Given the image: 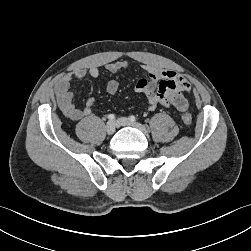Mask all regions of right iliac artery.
<instances>
[{
    "mask_svg": "<svg viewBox=\"0 0 251 251\" xmlns=\"http://www.w3.org/2000/svg\"><path fill=\"white\" fill-rule=\"evenodd\" d=\"M108 119H109L110 121L115 120V115H114V114H109V115H108Z\"/></svg>",
    "mask_w": 251,
    "mask_h": 251,
    "instance_id": "82829eb1",
    "label": "right iliac artery"
}]
</instances>
